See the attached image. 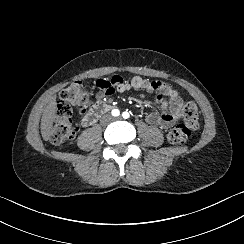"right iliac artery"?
Segmentation results:
<instances>
[{"label":"right iliac artery","mask_w":244,"mask_h":244,"mask_svg":"<svg viewBox=\"0 0 244 244\" xmlns=\"http://www.w3.org/2000/svg\"><path fill=\"white\" fill-rule=\"evenodd\" d=\"M112 115L117 117L120 115V111L118 109H114V110H112Z\"/></svg>","instance_id":"right-iliac-artery-1"}]
</instances>
